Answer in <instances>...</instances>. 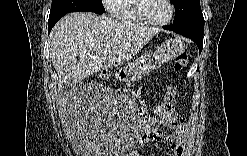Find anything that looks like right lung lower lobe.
Masks as SVG:
<instances>
[{"label": "right lung lower lobe", "mask_w": 247, "mask_h": 156, "mask_svg": "<svg viewBox=\"0 0 247 156\" xmlns=\"http://www.w3.org/2000/svg\"><path fill=\"white\" fill-rule=\"evenodd\" d=\"M98 14H102V13H98ZM64 16V15H63ZM62 16H58L55 18H49L48 21V33H50L52 27L56 24V22L61 18Z\"/></svg>", "instance_id": "1"}]
</instances>
